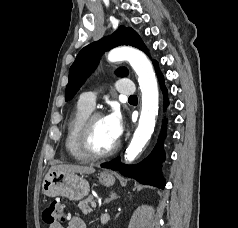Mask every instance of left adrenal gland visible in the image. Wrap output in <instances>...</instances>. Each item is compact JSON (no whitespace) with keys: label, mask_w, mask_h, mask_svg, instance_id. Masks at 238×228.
I'll return each instance as SVG.
<instances>
[{"label":"left adrenal gland","mask_w":238,"mask_h":228,"mask_svg":"<svg viewBox=\"0 0 238 228\" xmlns=\"http://www.w3.org/2000/svg\"><path fill=\"white\" fill-rule=\"evenodd\" d=\"M117 198H119V196L116 195L115 192L111 191V192H110V195H109V198H107V199L104 201V203H108V202H110V201H112V200H114V199H117Z\"/></svg>","instance_id":"obj_1"}]
</instances>
